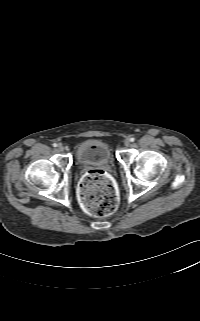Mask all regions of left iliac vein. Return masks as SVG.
<instances>
[{"label":"left iliac vein","mask_w":200,"mask_h":321,"mask_svg":"<svg viewBox=\"0 0 200 321\" xmlns=\"http://www.w3.org/2000/svg\"><path fill=\"white\" fill-rule=\"evenodd\" d=\"M124 144H125V146H129V145H130V139H126V140L124 141Z\"/></svg>","instance_id":"4c4485c4"}]
</instances>
